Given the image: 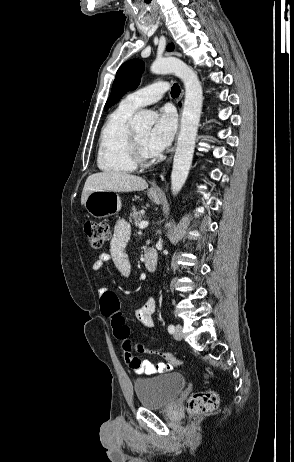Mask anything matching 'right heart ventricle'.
I'll list each match as a JSON object with an SVG mask.
<instances>
[{
    "instance_id": "right-heart-ventricle-1",
    "label": "right heart ventricle",
    "mask_w": 294,
    "mask_h": 462,
    "mask_svg": "<svg viewBox=\"0 0 294 462\" xmlns=\"http://www.w3.org/2000/svg\"><path fill=\"white\" fill-rule=\"evenodd\" d=\"M136 109L122 103L109 115L99 139L97 164L106 173L124 174L136 168L131 157L129 120Z\"/></svg>"
}]
</instances>
